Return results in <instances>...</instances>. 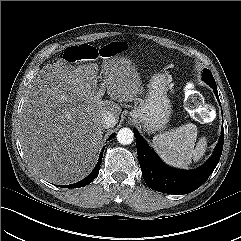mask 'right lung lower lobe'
<instances>
[{
	"label": "right lung lower lobe",
	"mask_w": 241,
	"mask_h": 241,
	"mask_svg": "<svg viewBox=\"0 0 241 241\" xmlns=\"http://www.w3.org/2000/svg\"><path fill=\"white\" fill-rule=\"evenodd\" d=\"M114 135L115 134L110 135L108 140L112 139L114 137ZM103 152H104V150L102 149V152H101V154L99 156L98 163H97L95 169L92 171L91 174H89L85 179H83L82 181H80L78 183H75V184H72V185H68V186H61V187H64V188H79V187H84V186L88 185L89 183H91L96 178V176L99 173L100 164L102 162Z\"/></svg>",
	"instance_id": "obj_1"
}]
</instances>
